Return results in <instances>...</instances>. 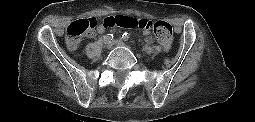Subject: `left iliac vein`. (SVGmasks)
Instances as JSON below:
<instances>
[{
	"mask_svg": "<svg viewBox=\"0 0 255 122\" xmlns=\"http://www.w3.org/2000/svg\"><path fill=\"white\" fill-rule=\"evenodd\" d=\"M113 44L116 46H125V43L121 40V39H117L115 41H113Z\"/></svg>",
	"mask_w": 255,
	"mask_h": 122,
	"instance_id": "left-iliac-vein-1",
	"label": "left iliac vein"
}]
</instances>
